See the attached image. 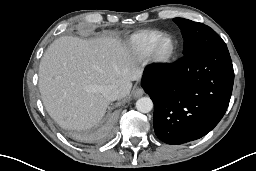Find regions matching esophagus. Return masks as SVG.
<instances>
[{
    "label": "esophagus",
    "mask_w": 256,
    "mask_h": 171,
    "mask_svg": "<svg viewBox=\"0 0 256 171\" xmlns=\"http://www.w3.org/2000/svg\"><path fill=\"white\" fill-rule=\"evenodd\" d=\"M134 98H139L144 94V90L141 87H136L132 91Z\"/></svg>",
    "instance_id": "34e87169"
}]
</instances>
